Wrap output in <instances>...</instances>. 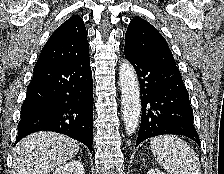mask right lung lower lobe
<instances>
[{
	"label": "right lung lower lobe",
	"instance_id": "right-lung-lower-lobe-1",
	"mask_svg": "<svg viewBox=\"0 0 224 174\" xmlns=\"http://www.w3.org/2000/svg\"><path fill=\"white\" fill-rule=\"evenodd\" d=\"M37 131H55L92 151L93 82L90 58L34 71L21 107L15 144Z\"/></svg>",
	"mask_w": 224,
	"mask_h": 174
}]
</instances>
